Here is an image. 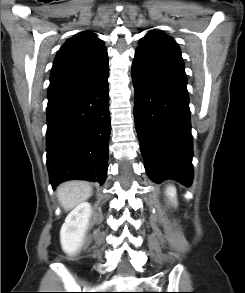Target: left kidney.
Returning <instances> with one entry per match:
<instances>
[{
    "instance_id": "obj_1",
    "label": "left kidney",
    "mask_w": 245,
    "mask_h": 293,
    "mask_svg": "<svg viewBox=\"0 0 245 293\" xmlns=\"http://www.w3.org/2000/svg\"><path fill=\"white\" fill-rule=\"evenodd\" d=\"M166 195L168 196L169 200L174 203V205L177 204L176 200V188L172 185L168 186L166 189Z\"/></svg>"
}]
</instances>
